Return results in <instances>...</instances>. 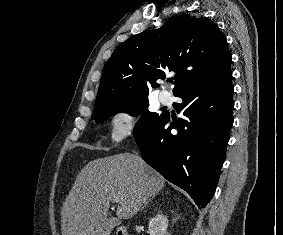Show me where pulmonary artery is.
Wrapping results in <instances>:
<instances>
[{
  "label": "pulmonary artery",
  "mask_w": 283,
  "mask_h": 235,
  "mask_svg": "<svg viewBox=\"0 0 283 235\" xmlns=\"http://www.w3.org/2000/svg\"><path fill=\"white\" fill-rule=\"evenodd\" d=\"M159 99L162 103L168 104L172 101V95L167 91H162L159 94Z\"/></svg>",
  "instance_id": "e3ab8cb5"
}]
</instances>
